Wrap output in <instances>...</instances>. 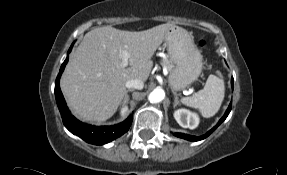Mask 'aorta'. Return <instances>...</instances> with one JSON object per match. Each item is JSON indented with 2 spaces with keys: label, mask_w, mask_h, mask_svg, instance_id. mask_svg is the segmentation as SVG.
<instances>
[{
  "label": "aorta",
  "mask_w": 287,
  "mask_h": 175,
  "mask_svg": "<svg viewBox=\"0 0 287 175\" xmlns=\"http://www.w3.org/2000/svg\"><path fill=\"white\" fill-rule=\"evenodd\" d=\"M165 98V92L161 88L154 89L148 96L151 103H159Z\"/></svg>",
  "instance_id": "obj_1"
}]
</instances>
